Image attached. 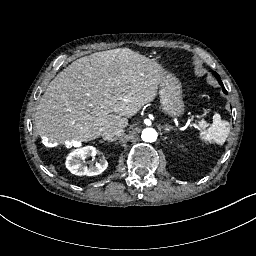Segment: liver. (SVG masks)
<instances>
[{"instance_id":"1","label":"liver","mask_w":256,"mask_h":256,"mask_svg":"<svg viewBox=\"0 0 256 256\" xmlns=\"http://www.w3.org/2000/svg\"><path fill=\"white\" fill-rule=\"evenodd\" d=\"M164 66L131 48L81 57L49 83L36 108L37 133L48 143L88 142L125 128L153 102Z\"/></svg>"}]
</instances>
